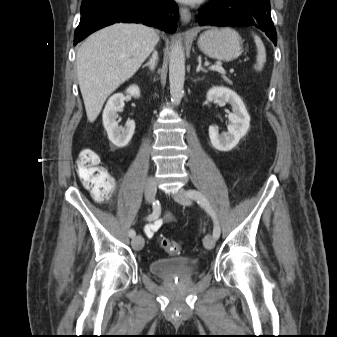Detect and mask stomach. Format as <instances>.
Returning a JSON list of instances; mask_svg holds the SVG:
<instances>
[{
  "instance_id": "1",
  "label": "stomach",
  "mask_w": 337,
  "mask_h": 337,
  "mask_svg": "<svg viewBox=\"0 0 337 337\" xmlns=\"http://www.w3.org/2000/svg\"><path fill=\"white\" fill-rule=\"evenodd\" d=\"M198 47L210 58L232 61L242 53V39L233 29L211 28L200 35Z\"/></svg>"
}]
</instances>
